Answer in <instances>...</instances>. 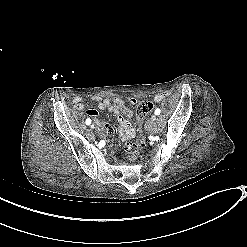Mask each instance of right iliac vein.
Here are the masks:
<instances>
[{"label": "right iliac vein", "instance_id": "obj_1", "mask_svg": "<svg viewBox=\"0 0 247 247\" xmlns=\"http://www.w3.org/2000/svg\"><path fill=\"white\" fill-rule=\"evenodd\" d=\"M91 128L94 129L95 128V125L94 123L91 124Z\"/></svg>", "mask_w": 247, "mask_h": 247}]
</instances>
